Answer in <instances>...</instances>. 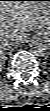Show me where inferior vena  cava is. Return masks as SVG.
I'll return each mask as SVG.
<instances>
[{
	"label": "inferior vena cava",
	"instance_id": "obj_1",
	"mask_svg": "<svg viewBox=\"0 0 50 111\" xmlns=\"http://www.w3.org/2000/svg\"><path fill=\"white\" fill-rule=\"evenodd\" d=\"M17 43H18V39L11 38V42L5 43L4 49H6L5 47L10 48L11 46H13Z\"/></svg>",
	"mask_w": 50,
	"mask_h": 111
}]
</instances>
